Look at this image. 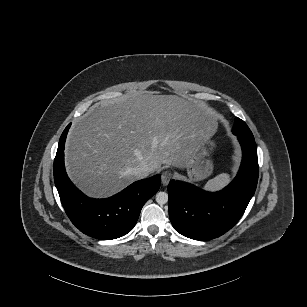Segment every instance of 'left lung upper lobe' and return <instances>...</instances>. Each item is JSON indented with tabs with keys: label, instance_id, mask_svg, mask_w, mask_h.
<instances>
[{
	"label": "left lung upper lobe",
	"instance_id": "left-lung-upper-lobe-1",
	"mask_svg": "<svg viewBox=\"0 0 307 307\" xmlns=\"http://www.w3.org/2000/svg\"><path fill=\"white\" fill-rule=\"evenodd\" d=\"M232 132L235 135H243V136H248V137L253 136L252 132L250 131L246 123L237 117H236L233 129H232Z\"/></svg>",
	"mask_w": 307,
	"mask_h": 307
}]
</instances>
